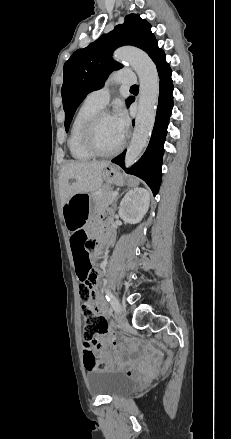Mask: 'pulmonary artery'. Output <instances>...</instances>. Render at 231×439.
<instances>
[{
	"instance_id": "e3ab8cb5",
	"label": "pulmonary artery",
	"mask_w": 231,
	"mask_h": 439,
	"mask_svg": "<svg viewBox=\"0 0 231 439\" xmlns=\"http://www.w3.org/2000/svg\"><path fill=\"white\" fill-rule=\"evenodd\" d=\"M120 83L123 85H132L135 83V76L129 70H120L111 75L109 83ZM109 83L101 89L91 91L86 100L96 106L103 108L109 101L110 89Z\"/></svg>"
}]
</instances>
